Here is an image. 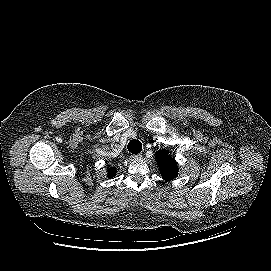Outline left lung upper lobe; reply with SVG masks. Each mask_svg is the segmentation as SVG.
Masks as SVG:
<instances>
[{"label":"left lung upper lobe","mask_w":271,"mask_h":271,"mask_svg":"<svg viewBox=\"0 0 271 271\" xmlns=\"http://www.w3.org/2000/svg\"><path fill=\"white\" fill-rule=\"evenodd\" d=\"M157 164L161 172L162 178L169 181L177 177L178 165L173 157L164 149L156 153Z\"/></svg>","instance_id":"obj_1"}]
</instances>
